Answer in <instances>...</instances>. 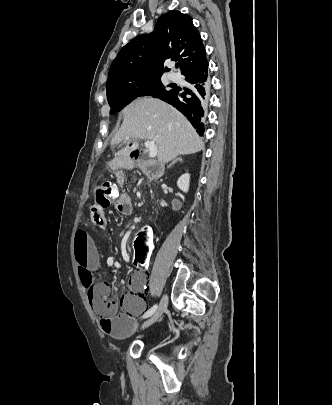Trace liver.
<instances>
[{"instance_id": "6515ba94", "label": "liver", "mask_w": 332, "mask_h": 405, "mask_svg": "<svg viewBox=\"0 0 332 405\" xmlns=\"http://www.w3.org/2000/svg\"><path fill=\"white\" fill-rule=\"evenodd\" d=\"M123 115V124L112 138V145L133 137L153 141L161 164L178 155L194 154L204 149V143L189 121L159 99L136 100L123 110ZM130 150L129 146L123 148L117 153L118 158L125 159Z\"/></svg>"}]
</instances>
